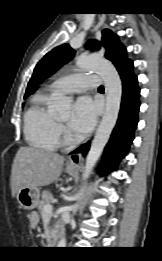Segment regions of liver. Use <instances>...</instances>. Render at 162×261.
<instances>
[{"instance_id":"6515ba94","label":"liver","mask_w":162,"mask_h":261,"mask_svg":"<svg viewBox=\"0 0 162 261\" xmlns=\"http://www.w3.org/2000/svg\"><path fill=\"white\" fill-rule=\"evenodd\" d=\"M64 157L32 147L17 151L11 170V192L14 197L23 187L38 188L58 181Z\"/></svg>"}]
</instances>
